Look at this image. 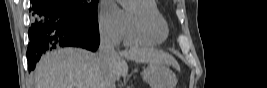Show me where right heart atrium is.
Wrapping results in <instances>:
<instances>
[{"mask_svg": "<svg viewBox=\"0 0 267 88\" xmlns=\"http://www.w3.org/2000/svg\"><path fill=\"white\" fill-rule=\"evenodd\" d=\"M99 30L101 35L115 43H120L125 34V18L123 12L113 3L106 4L99 14Z\"/></svg>", "mask_w": 267, "mask_h": 88, "instance_id": "1", "label": "right heart atrium"}]
</instances>
